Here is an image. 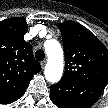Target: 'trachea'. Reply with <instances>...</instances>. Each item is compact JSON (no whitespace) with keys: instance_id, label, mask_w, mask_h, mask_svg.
<instances>
[{"instance_id":"obj_1","label":"trachea","mask_w":108,"mask_h":108,"mask_svg":"<svg viewBox=\"0 0 108 108\" xmlns=\"http://www.w3.org/2000/svg\"><path fill=\"white\" fill-rule=\"evenodd\" d=\"M35 58H36V60H38V61H43L44 58H45V53H44V51L41 50V49L37 50L36 53H35Z\"/></svg>"}]
</instances>
